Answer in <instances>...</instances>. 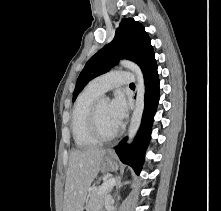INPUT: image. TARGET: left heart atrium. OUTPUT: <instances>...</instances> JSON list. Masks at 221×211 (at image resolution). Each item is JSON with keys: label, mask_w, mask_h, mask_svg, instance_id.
<instances>
[{"label": "left heart atrium", "mask_w": 221, "mask_h": 211, "mask_svg": "<svg viewBox=\"0 0 221 211\" xmlns=\"http://www.w3.org/2000/svg\"><path fill=\"white\" fill-rule=\"evenodd\" d=\"M110 115L115 125L120 128L128 114V103L122 92H117L113 100L109 103Z\"/></svg>", "instance_id": "obj_1"}]
</instances>
